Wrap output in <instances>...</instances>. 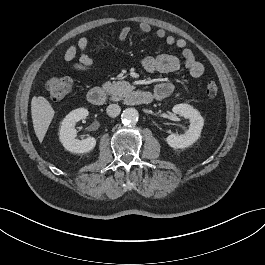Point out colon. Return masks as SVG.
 <instances>
[{
  "label": "colon",
  "instance_id": "5ec220e1",
  "mask_svg": "<svg viewBox=\"0 0 265 265\" xmlns=\"http://www.w3.org/2000/svg\"><path fill=\"white\" fill-rule=\"evenodd\" d=\"M72 88V81L68 77H52L46 82V90L55 101L65 98ZM219 88L215 82H209L206 85V94L214 97L218 94Z\"/></svg>",
  "mask_w": 265,
  "mask_h": 265
}]
</instances>
